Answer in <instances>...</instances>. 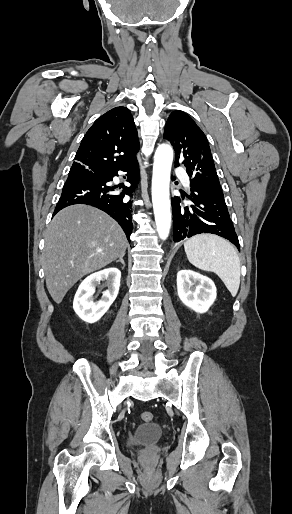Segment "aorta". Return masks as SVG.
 <instances>
[{
    "label": "aorta",
    "mask_w": 292,
    "mask_h": 514,
    "mask_svg": "<svg viewBox=\"0 0 292 514\" xmlns=\"http://www.w3.org/2000/svg\"><path fill=\"white\" fill-rule=\"evenodd\" d=\"M173 162V150L169 144H160L154 156L152 176V202L161 240H166L171 228V212L169 198L170 172Z\"/></svg>",
    "instance_id": "1"
}]
</instances>
